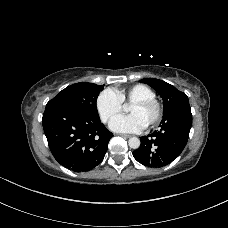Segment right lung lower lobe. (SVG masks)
<instances>
[{
    "label": "right lung lower lobe",
    "instance_id": "1",
    "mask_svg": "<svg viewBox=\"0 0 228 228\" xmlns=\"http://www.w3.org/2000/svg\"><path fill=\"white\" fill-rule=\"evenodd\" d=\"M42 123L54 158L74 172L98 166L113 136L98 115L61 103L46 105Z\"/></svg>",
    "mask_w": 228,
    "mask_h": 228
}]
</instances>
